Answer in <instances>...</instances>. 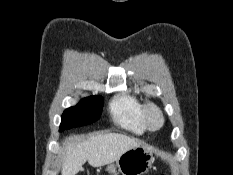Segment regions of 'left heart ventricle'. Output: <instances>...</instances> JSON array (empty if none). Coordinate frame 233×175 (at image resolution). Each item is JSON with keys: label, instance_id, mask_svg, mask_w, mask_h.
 Here are the masks:
<instances>
[{"label": "left heart ventricle", "instance_id": "obj_1", "mask_svg": "<svg viewBox=\"0 0 233 175\" xmlns=\"http://www.w3.org/2000/svg\"><path fill=\"white\" fill-rule=\"evenodd\" d=\"M151 122H152L153 125H157L158 124V118L155 115H153L151 117Z\"/></svg>", "mask_w": 233, "mask_h": 175}]
</instances>
